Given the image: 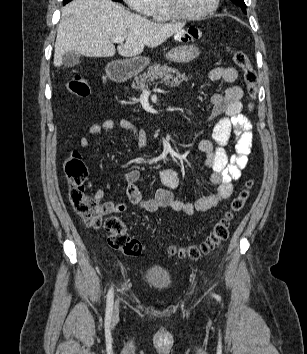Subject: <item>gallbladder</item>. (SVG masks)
I'll list each match as a JSON object with an SVG mask.
<instances>
[{
    "label": "gallbladder",
    "mask_w": 307,
    "mask_h": 354,
    "mask_svg": "<svg viewBox=\"0 0 307 354\" xmlns=\"http://www.w3.org/2000/svg\"><path fill=\"white\" fill-rule=\"evenodd\" d=\"M80 63V54L76 52H67L62 57V65L65 67H74Z\"/></svg>",
    "instance_id": "obj_1"
}]
</instances>
